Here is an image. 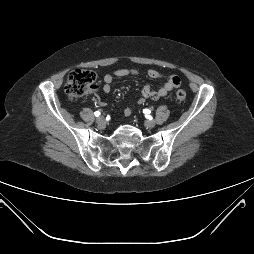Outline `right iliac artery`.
<instances>
[{
    "instance_id": "82829eb1",
    "label": "right iliac artery",
    "mask_w": 254,
    "mask_h": 254,
    "mask_svg": "<svg viewBox=\"0 0 254 254\" xmlns=\"http://www.w3.org/2000/svg\"><path fill=\"white\" fill-rule=\"evenodd\" d=\"M100 114H101L100 111H96V112H95V116H96V117L100 116Z\"/></svg>"
}]
</instances>
